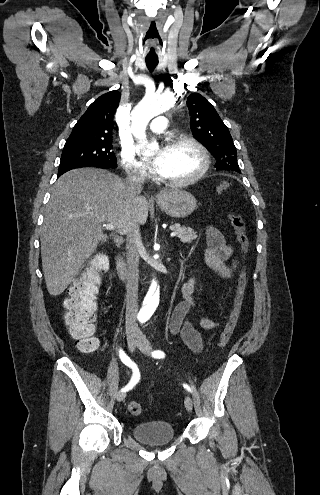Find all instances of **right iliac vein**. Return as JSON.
<instances>
[{
	"label": "right iliac vein",
	"mask_w": 320,
	"mask_h": 495,
	"mask_svg": "<svg viewBox=\"0 0 320 495\" xmlns=\"http://www.w3.org/2000/svg\"><path fill=\"white\" fill-rule=\"evenodd\" d=\"M127 343H128V347H129L130 351L133 352L135 347H136V344H137V336L132 332H128L127 333ZM125 397H126L125 391H120L116 395V399L119 402L123 401L125 399Z\"/></svg>",
	"instance_id": "1"
}]
</instances>
